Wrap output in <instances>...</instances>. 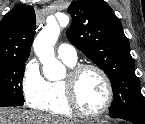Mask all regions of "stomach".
Instances as JSON below:
<instances>
[{"instance_id": "stomach-1", "label": "stomach", "mask_w": 145, "mask_h": 124, "mask_svg": "<svg viewBox=\"0 0 145 124\" xmlns=\"http://www.w3.org/2000/svg\"><path fill=\"white\" fill-rule=\"evenodd\" d=\"M80 124H105L104 121L100 120H88L81 122Z\"/></svg>"}]
</instances>
